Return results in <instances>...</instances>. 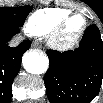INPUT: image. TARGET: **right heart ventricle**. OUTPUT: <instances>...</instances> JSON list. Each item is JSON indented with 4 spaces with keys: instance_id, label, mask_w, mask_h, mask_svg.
Listing matches in <instances>:
<instances>
[{
    "instance_id": "1",
    "label": "right heart ventricle",
    "mask_w": 103,
    "mask_h": 103,
    "mask_svg": "<svg viewBox=\"0 0 103 103\" xmlns=\"http://www.w3.org/2000/svg\"><path fill=\"white\" fill-rule=\"evenodd\" d=\"M69 13V9L61 7L39 9L29 17L25 30L33 36L46 35L60 19Z\"/></svg>"
}]
</instances>
